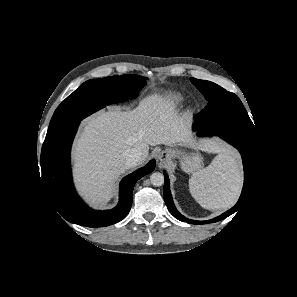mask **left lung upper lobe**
<instances>
[{
	"label": "left lung upper lobe",
	"instance_id": "left-lung-upper-lobe-1",
	"mask_svg": "<svg viewBox=\"0 0 297 297\" xmlns=\"http://www.w3.org/2000/svg\"><path fill=\"white\" fill-rule=\"evenodd\" d=\"M190 81L208 101L204 111L195 120V124L201 127L229 125L256 133V129L237 95L210 81L195 78H191Z\"/></svg>",
	"mask_w": 297,
	"mask_h": 297
}]
</instances>
